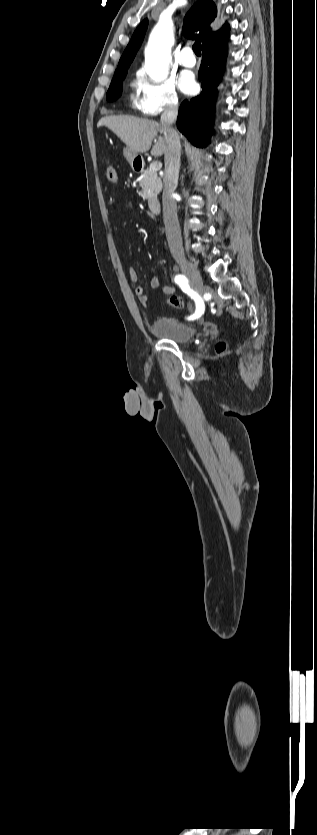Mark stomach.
<instances>
[{
  "label": "stomach",
  "instance_id": "stomach-1",
  "mask_svg": "<svg viewBox=\"0 0 317 835\" xmlns=\"http://www.w3.org/2000/svg\"><path fill=\"white\" fill-rule=\"evenodd\" d=\"M123 154L126 160L133 166L142 160V156L135 154L128 147L123 149Z\"/></svg>",
  "mask_w": 317,
  "mask_h": 835
}]
</instances>
